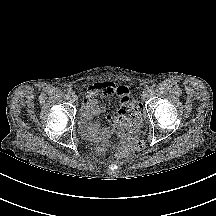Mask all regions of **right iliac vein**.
Segmentation results:
<instances>
[{"instance_id": "63e3f726", "label": "right iliac vein", "mask_w": 216, "mask_h": 216, "mask_svg": "<svg viewBox=\"0 0 216 216\" xmlns=\"http://www.w3.org/2000/svg\"><path fill=\"white\" fill-rule=\"evenodd\" d=\"M71 98H72L73 101H77L78 100V96L74 92L71 94Z\"/></svg>"}]
</instances>
